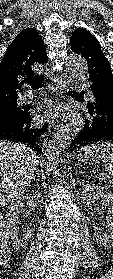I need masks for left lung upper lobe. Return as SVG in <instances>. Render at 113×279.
<instances>
[{
	"label": "left lung upper lobe",
	"mask_w": 113,
	"mask_h": 279,
	"mask_svg": "<svg viewBox=\"0 0 113 279\" xmlns=\"http://www.w3.org/2000/svg\"><path fill=\"white\" fill-rule=\"evenodd\" d=\"M71 49L86 58L92 85L103 87L113 93L111 66L96 38L87 30L78 28L71 36Z\"/></svg>",
	"instance_id": "left-lung-upper-lobe-1"
}]
</instances>
